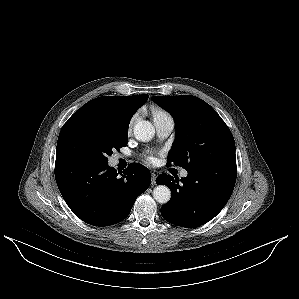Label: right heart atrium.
<instances>
[{"mask_svg":"<svg viewBox=\"0 0 299 299\" xmlns=\"http://www.w3.org/2000/svg\"><path fill=\"white\" fill-rule=\"evenodd\" d=\"M135 119H136V116L134 115V116L131 118V120H130V123H129V128H131V127H132V125H133V123H134Z\"/></svg>","mask_w":299,"mask_h":299,"instance_id":"d8ad5b80","label":"right heart atrium"}]
</instances>
